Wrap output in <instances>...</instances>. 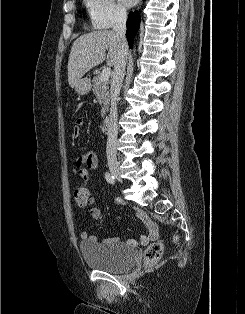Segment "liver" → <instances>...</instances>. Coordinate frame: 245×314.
Here are the masks:
<instances>
[{
    "mask_svg": "<svg viewBox=\"0 0 245 314\" xmlns=\"http://www.w3.org/2000/svg\"><path fill=\"white\" fill-rule=\"evenodd\" d=\"M119 42L112 30L93 31L76 39L72 45L68 60V83L75 87L77 81L90 69L101 64L107 54V65H114Z\"/></svg>",
    "mask_w": 245,
    "mask_h": 314,
    "instance_id": "6515ba94",
    "label": "liver"
}]
</instances>
